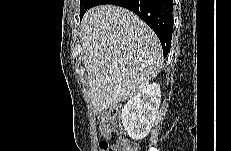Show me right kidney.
Segmentation results:
<instances>
[{
    "instance_id": "1",
    "label": "right kidney",
    "mask_w": 231,
    "mask_h": 151,
    "mask_svg": "<svg viewBox=\"0 0 231 151\" xmlns=\"http://www.w3.org/2000/svg\"><path fill=\"white\" fill-rule=\"evenodd\" d=\"M160 97V85L152 83L125 104L121 119L130 138L141 140L150 132L160 106Z\"/></svg>"
}]
</instances>
